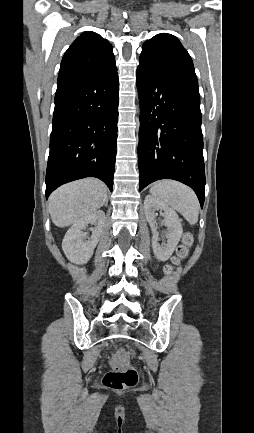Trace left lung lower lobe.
I'll list each match as a JSON object with an SVG mask.
<instances>
[{
    "label": "left lung lower lobe",
    "instance_id": "left-lung-lower-lobe-1",
    "mask_svg": "<svg viewBox=\"0 0 254 433\" xmlns=\"http://www.w3.org/2000/svg\"><path fill=\"white\" fill-rule=\"evenodd\" d=\"M138 164L141 191L160 179L190 186L204 203L205 170L198 85L139 61Z\"/></svg>",
    "mask_w": 254,
    "mask_h": 433
}]
</instances>
